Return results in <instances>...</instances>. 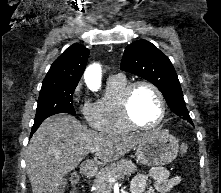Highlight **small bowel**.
<instances>
[{"mask_svg": "<svg viewBox=\"0 0 221 193\" xmlns=\"http://www.w3.org/2000/svg\"><path fill=\"white\" fill-rule=\"evenodd\" d=\"M149 180L154 181L155 189L159 193H167L182 182V177L171 176L165 167H153L149 172L140 173L133 177L130 184L131 193H144Z\"/></svg>", "mask_w": 221, "mask_h": 193, "instance_id": "small-bowel-1", "label": "small bowel"}]
</instances>
